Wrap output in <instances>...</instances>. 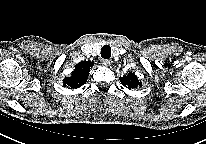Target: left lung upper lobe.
<instances>
[{"label":"left lung upper lobe","instance_id":"left-lung-upper-lobe-1","mask_svg":"<svg viewBox=\"0 0 206 144\" xmlns=\"http://www.w3.org/2000/svg\"><path fill=\"white\" fill-rule=\"evenodd\" d=\"M119 79L121 83L129 89L141 86V81H139L137 76L132 72H130L126 76L120 77Z\"/></svg>","mask_w":206,"mask_h":144}]
</instances>
